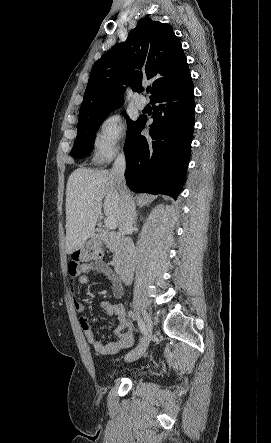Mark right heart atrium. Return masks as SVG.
Here are the masks:
<instances>
[{
	"mask_svg": "<svg viewBox=\"0 0 271 443\" xmlns=\"http://www.w3.org/2000/svg\"><path fill=\"white\" fill-rule=\"evenodd\" d=\"M126 122L118 113L105 116L99 123L91 142L93 159L103 161L122 152L126 146Z\"/></svg>",
	"mask_w": 271,
	"mask_h": 443,
	"instance_id": "d8ad5b80",
	"label": "right heart atrium"
}]
</instances>
